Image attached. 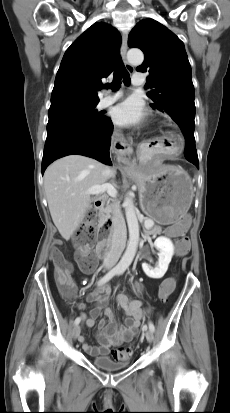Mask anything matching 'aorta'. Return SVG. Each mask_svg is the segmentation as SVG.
<instances>
[{
	"label": "aorta",
	"mask_w": 230,
	"mask_h": 413,
	"mask_svg": "<svg viewBox=\"0 0 230 413\" xmlns=\"http://www.w3.org/2000/svg\"><path fill=\"white\" fill-rule=\"evenodd\" d=\"M127 59L130 63L138 65L143 62L144 55L139 49H131L127 53ZM131 195L132 193L129 192L123 203L129 230V241L126 251L118 264V267L122 270L127 269L132 263L139 243V223Z\"/></svg>",
	"instance_id": "1"
}]
</instances>
